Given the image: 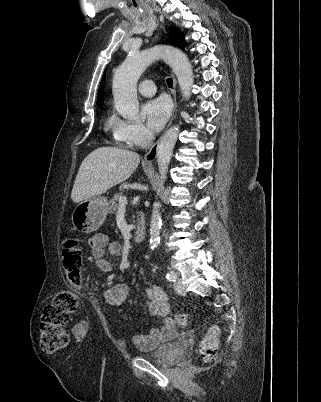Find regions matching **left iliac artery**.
<instances>
[{"label":"left iliac artery","mask_w":321,"mask_h":402,"mask_svg":"<svg viewBox=\"0 0 321 402\" xmlns=\"http://www.w3.org/2000/svg\"><path fill=\"white\" fill-rule=\"evenodd\" d=\"M176 273H174L173 271H171V272H169V273H167V275H166V278L169 280V281H175L176 280Z\"/></svg>","instance_id":"44dca946"}]
</instances>
